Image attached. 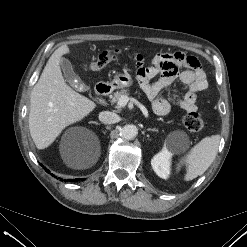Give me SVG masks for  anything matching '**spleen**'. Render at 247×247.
<instances>
[{
	"label": "spleen",
	"mask_w": 247,
	"mask_h": 247,
	"mask_svg": "<svg viewBox=\"0 0 247 247\" xmlns=\"http://www.w3.org/2000/svg\"><path fill=\"white\" fill-rule=\"evenodd\" d=\"M220 138V135L203 138L181 158L180 163L187 166V173L184 178L186 181L195 179L209 168L216 157Z\"/></svg>",
	"instance_id": "3e777b00"
}]
</instances>
